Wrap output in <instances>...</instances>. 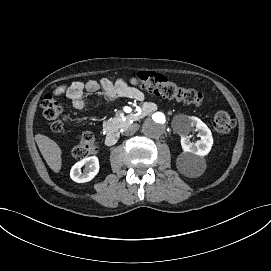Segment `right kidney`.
I'll return each mask as SVG.
<instances>
[{"label": "right kidney", "instance_id": "ca27d5eb", "mask_svg": "<svg viewBox=\"0 0 271 271\" xmlns=\"http://www.w3.org/2000/svg\"><path fill=\"white\" fill-rule=\"evenodd\" d=\"M98 169L99 165L97 157H88L77 162L71 168L70 177L75 182H87L97 174Z\"/></svg>", "mask_w": 271, "mask_h": 271}]
</instances>
